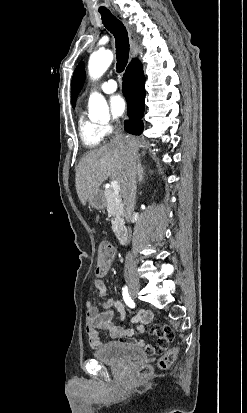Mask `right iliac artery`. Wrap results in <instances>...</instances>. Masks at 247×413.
<instances>
[{"mask_svg": "<svg viewBox=\"0 0 247 413\" xmlns=\"http://www.w3.org/2000/svg\"><path fill=\"white\" fill-rule=\"evenodd\" d=\"M122 290H123V293H122V294H123V299H124L126 305H128L130 308H134V307H135V303H134V301L132 300V298H131L130 295H129L127 286H125L124 288H122Z\"/></svg>", "mask_w": 247, "mask_h": 413, "instance_id": "right-iliac-artery-1", "label": "right iliac artery"}]
</instances>
